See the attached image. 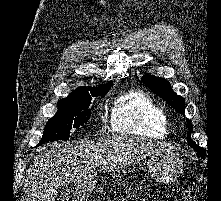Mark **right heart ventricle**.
I'll use <instances>...</instances> for the list:
<instances>
[{"mask_svg": "<svg viewBox=\"0 0 221 201\" xmlns=\"http://www.w3.org/2000/svg\"><path fill=\"white\" fill-rule=\"evenodd\" d=\"M110 123L112 130L118 134L149 139H162L169 129L163 108L139 90L123 93L114 101Z\"/></svg>", "mask_w": 221, "mask_h": 201, "instance_id": "1", "label": "right heart ventricle"}]
</instances>
